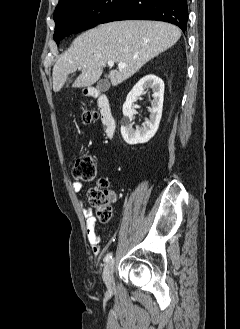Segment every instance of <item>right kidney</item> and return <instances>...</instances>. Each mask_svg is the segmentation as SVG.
<instances>
[{"label":"right kidney","instance_id":"right-kidney-1","mask_svg":"<svg viewBox=\"0 0 240 329\" xmlns=\"http://www.w3.org/2000/svg\"><path fill=\"white\" fill-rule=\"evenodd\" d=\"M145 89H152L153 100L149 108L150 116L142 127L133 129L135 110L132 108L134 102L141 96ZM164 99V82L155 75H147L140 79L128 94L123 105V119L121 121V134L126 143L130 145L148 142L156 133L162 116Z\"/></svg>","mask_w":240,"mask_h":329}]
</instances>
